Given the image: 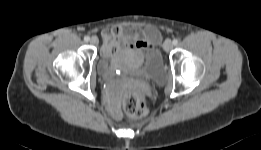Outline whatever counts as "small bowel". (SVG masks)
<instances>
[{
    "label": "small bowel",
    "mask_w": 261,
    "mask_h": 150,
    "mask_svg": "<svg viewBox=\"0 0 261 150\" xmlns=\"http://www.w3.org/2000/svg\"><path fill=\"white\" fill-rule=\"evenodd\" d=\"M102 36L104 48L116 46L117 40L121 39L125 42L134 41V48L142 53L152 50L154 44L160 40V33L155 28H145L142 32H139L135 29L115 27L104 30Z\"/></svg>",
    "instance_id": "c3829d8e"
}]
</instances>
